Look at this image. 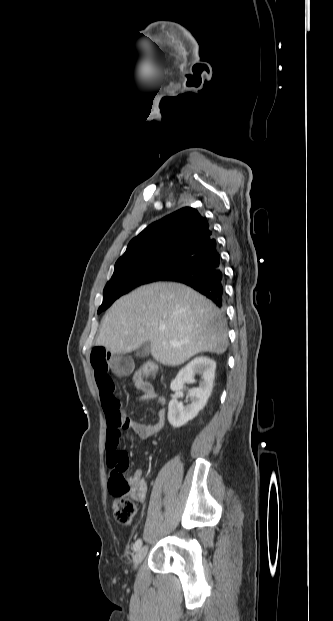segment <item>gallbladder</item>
Instances as JSON below:
<instances>
[{
	"instance_id": "bac80fb5",
	"label": "gallbladder",
	"mask_w": 333,
	"mask_h": 621,
	"mask_svg": "<svg viewBox=\"0 0 333 621\" xmlns=\"http://www.w3.org/2000/svg\"><path fill=\"white\" fill-rule=\"evenodd\" d=\"M151 344L149 341L144 342L137 350L136 356L138 357H146L150 354Z\"/></svg>"
}]
</instances>
